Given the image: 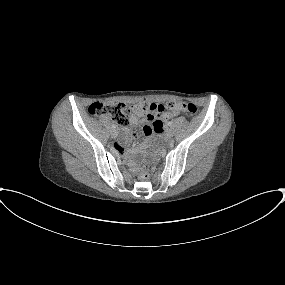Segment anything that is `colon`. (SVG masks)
<instances>
[{"label":"colon","instance_id":"1","mask_svg":"<svg viewBox=\"0 0 285 285\" xmlns=\"http://www.w3.org/2000/svg\"><path fill=\"white\" fill-rule=\"evenodd\" d=\"M163 114L155 113L152 116L156 119H167L169 117L185 112L189 115L196 113V107L189 102L168 103L165 106ZM150 112V106L146 102H140L127 107L122 103L93 102L88 107V113L93 117H106L112 120L116 125L125 127L133 116H145ZM135 173L142 179H147L150 174L142 169H136Z\"/></svg>","mask_w":285,"mask_h":285}]
</instances>
